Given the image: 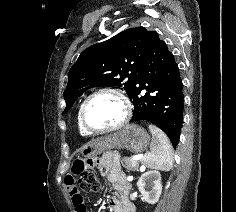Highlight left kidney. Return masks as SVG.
Listing matches in <instances>:
<instances>
[{
	"label": "left kidney",
	"mask_w": 236,
	"mask_h": 212,
	"mask_svg": "<svg viewBox=\"0 0 236 212\" xmlns=\"http://www.w3.org/2000/svg\"><path fill=\"white\" fill-rule=\"evenodd\" d=\"M137 187L142 200L149 204L157 203L162 192L161 174L156 170L143 173L137 182Z\"/></svg>",
	"instance_id": "1"
}]
</instances>
